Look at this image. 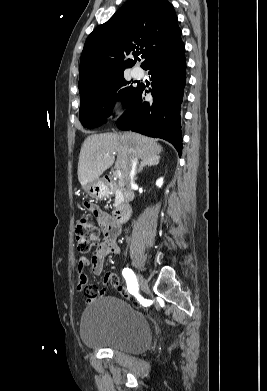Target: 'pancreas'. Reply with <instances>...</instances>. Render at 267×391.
<instances>
[{
  "instance_id": "pancreas-1",
  "label": "pancreas",
  "mask_w": 267,
  "mask_h": 391,
  "mask_svg": "<svg viewBox=\"0 0 267 391\" xmlns=\"http://www.w3.org/2000/svg\"><path fill=\"white\" fill-rule=\"evenodd\" d=\"M111 190L113 191V194L115 195V203L114 207L119 208L124 200L123 191L121 189L122 183L119 181L117 183H111L110 185Z\"/></svg>"
}]
</instances>
